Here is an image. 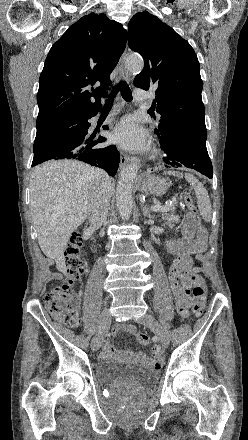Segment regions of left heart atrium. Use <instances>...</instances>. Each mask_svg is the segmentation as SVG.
I'll use <instances>...</instances> for the list:
<instances>
[{
	"mask_svg": "<svg viewBox=\"0 0 248 440\" xmlns=\"http://www.w3.org/2000/svg\"><path fill=\"white\" fill-rule=\"evenodd\" d=\"M112 140L129 151H143L147 148L144 130L133 117L123 118L114 128Z\"/></svg>",
	"mask_w": 248,
	"mask_h": 440,
	"instance_id": "obj_1",
	"label": "left heart atrium"
}]
</instances>
